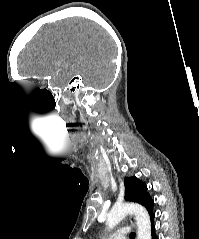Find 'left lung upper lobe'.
<instances>
[{
    "label": "left lung upper lobe",
    "instance_id": "obj_1",
    "mask_svg": "<svg viewBox=\"0 0 199 239\" xmlns=\"http://www.w3.org/2000/svg\"><path fill=\"white\" fill-rule=\"evenodd\" d=\"M125 199L131 202H137L153 213L154 201L147 192V186L136 177L125 178Z\"/></svg>",
    "mask_w": 199,
    "mask_h": 239
}]
</instances>
